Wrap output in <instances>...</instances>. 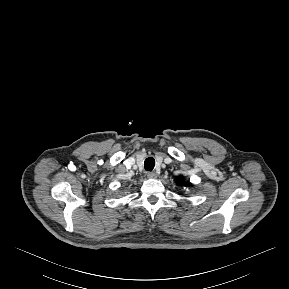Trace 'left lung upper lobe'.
Masks as SVG:
<instances>
[{
  "label": "left lung upper lobe",
  "mask_w": 289,
  "mask_h": 289,
  "mask_svg": "<svg viewBox=\"0 0 289 289\" xmlns=\"http://www.w3.org/2000/svg\"><path fill=\"white\" fill-rule=\"evenodd\" d=\"M177 183H178V185H187V186H190V183L184 184L182 177L178 179Z\"/></svg>",
  "instance_id": "obj_1"
}]
</instances>
